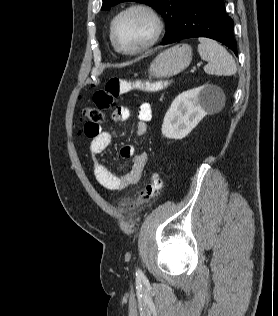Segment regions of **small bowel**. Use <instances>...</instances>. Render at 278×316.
<instances>
[{
  "label": "small bowel",
  "mask_w": 278,
  "mask_h": 316,
  "mask_svg": "<svg viewBox=\"0 0 278 316\" xmlns=\"http://www.w3.org/2000/svg\"><path fill=\"white\" fill-rule=\"evenodd\" d=\"M131 110L126 106L116 108L111 118L114 122H123L129 119ZM136 133L143 136L147 132L148 123L152 119V109L148 102H143L137 109ZM90 138L89 153L92 159V168L97 182L104 188L112 191H122L130 186L137 184L142 176L147 163V155L144 152L136 153L131 145L121 148L120 154L124 158H132V165L122 176L113 174L106 164L100 159L102 152L110 145L112 136L107 131L99 130Z\"/></svg>",
  "instance_id": "small-bowel-1"
}]
</instances>
